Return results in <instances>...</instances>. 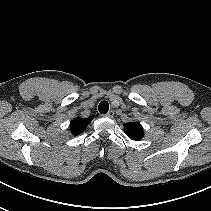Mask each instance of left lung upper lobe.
<instances>
[{"instance_id":"left-lung-upper-lobe-1","label":"left lung upper lobe","mask_w":211,"mask_h":211,"mask_svg":"<svg viewBox=\"0 0 211 211\" xmlns=\"http://www.w3.org/2000/svg\"><path fill=\"white\" fill-rule=\"evenodd\" d=\"M124 129L127 136L132 140L139 141L144 136L143 127L138 122L125 123Z\"/></svg>"}]
</instances>
